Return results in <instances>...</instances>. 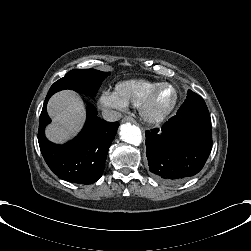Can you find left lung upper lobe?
I'll return each mask as SVG.
<instances>
[{
	"mask_svg": "<svg viewBox=\"0 0 251 251\" xmlns=\"http://www.w3.org/2000/svg\"><path fill=\"white\" fill-rule=\"evenodd\" d=\"M184 112H201L204 114L209 115L208 108L201 96L188 90L187 92V99L181 105L177 114L184 113Z\"/></svg>",
	"mask_w": 251,
	"mask_h": 251,
	"instance_id": "obj_1",
	"label": "left lung upper lobe"
}]
</instances>
